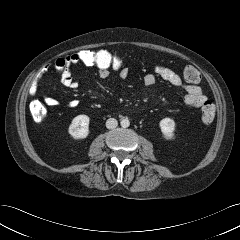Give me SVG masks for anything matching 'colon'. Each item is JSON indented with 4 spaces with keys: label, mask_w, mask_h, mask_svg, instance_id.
Instances as JSON below:
<instances>
[{
    "label": "colon",
    "mask_w": 240,
    "mask_h": 240,
    "mask_svg": "<svg viewBox=\"0 0 240 240\" xmlns=\"http://www.w3.org/2000/svg\"><path fill=\"white\" fill-rule=\"evenodd\" d=\"M72 59L76 65L81 64L96 68L102 67L116 71H119L126 66V62L123 57L107 49L79 50L72 54ZM183 77L186 82L191 84H197L201 80L199 71L193 66H188L184 69ZM29 109L34 121L36 122H42L47 115L46 108L38 100L32 101L30 103ZM214 116V106L210 101H208L202 107L201 119L203 123L209 124L213 121Z\"/></svg>",
    "instance_id": "obj_1"
}]
</instances>
